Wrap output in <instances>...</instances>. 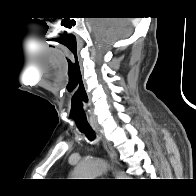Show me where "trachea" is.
Masks as SVG:
<instances>
[{
	"label": "trachea",
	"mask_w": 196,
	"mask_h": 196,
	"mask_svg": "<svg viewBox=\"0 0 196 196\" xmlns=\"http://www.w3.org/2000/svg\"><path fill=\"white\" fill-rule=\"evenodd\" d=\"M80 132L84 133L86 137L92 141L96 138L95 132L92 130L91 127L89 128H79Z\"/></svg>",
	"instance_id": "obj_1"
}]
</instances>
